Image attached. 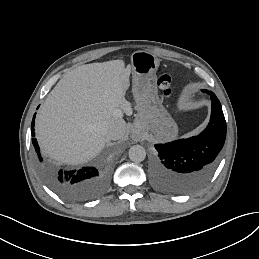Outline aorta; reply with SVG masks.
<instances>
[{
	"label": "aorta",
	"mask_w": 259,
	"mask_h": 259,
	"mask_svg": "<svg viewBox=\"0 0 259 259\" xmlns=\"http://www.w3.org/2000/svg\"><path fill=\"white\" fill-rule=\"evenodd\" d=\"M146 157V151L143 146L133 145L129 149V158L135 163L142 162Z\"/></svg>",
	"instance_id": "1"
}]
</instances>
